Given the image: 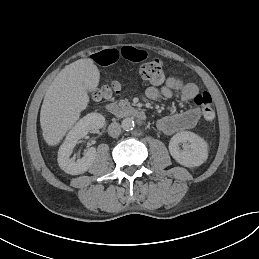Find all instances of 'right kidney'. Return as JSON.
<instances>
[{
    "mask_svg": "<svg viewBox=\"0 0 259 259\" xmlns=\"http://www.w3.org/2000/svg\"><path fill=\"white\" fill-rule=\"evenodd\" d=\"M104 124V116L94 112L87 114L75 124L58 151V164L62 170L71 175H78L86 172L92 166L96 159L94 147L87 149L84 156L77 161L70 158V155L79 139L85 137L88 132L102 128Z\"/></svg>",
    "mask_w": 259,
    "mask_h": 259,
    "instance_id": "obj_1",
    "label": "right kidney"
}]
</instances>
